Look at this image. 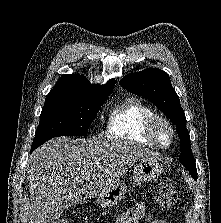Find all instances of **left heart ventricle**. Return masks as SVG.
I'll return each instance as SVG.
<instances>
[{"label": "left heart ventricle", "instance_id": "obj_1", "mask_svg": "<svg viewBox=\"0 0 221 223\" xmlns=\"http://www.w3.org/2000/svg\"><path fill=\"white\" fill-rule=\"evenodd\" d=\"M157 137L164 144L170 141V133L168 129L162 125L157 127Z\"/></svg>", "mask_w": 221, "mask_h": 223}]
</instances>
